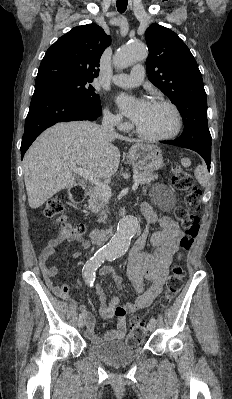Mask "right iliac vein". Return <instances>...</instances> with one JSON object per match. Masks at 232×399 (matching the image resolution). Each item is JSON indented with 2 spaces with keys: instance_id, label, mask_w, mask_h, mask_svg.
<instances>
[{
  "instance_id": "obj_1",
  "label": "right iliac vein",
  "mask_w": 232,
  "mask_h": 399,
  "mask_svg": "<svg viewBox=\"0 0 232 399\" xmlns=\"http://www.w3.org/2000/svg\"><path fill=\"white\" fill-rule=\"evenodd\" d=\"M77 325H78V327L84 326L85 322L82 319H78L77 320Z\"/></svg>"
}]
</instances>
